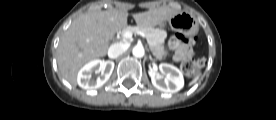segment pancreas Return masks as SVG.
<instances>
[{
	"label": "pancreas",
	"instance_id": "cf45deb5",
	"mask_svg": "<svg viewBox=\"0 0 276 120\" xmlns=\"http://www.w3.org/2000/svg\"><path fill=\"white\" fill-rule=\"evenodd\" d=\"M126 31L136 32V31H142L146 35L147 42L151 48V51L157 58H161L164 49L162 44L164 43V40L166 38V32L160 29H155L151 27H127L123 30V33Z\"/></svg>",
	"mask_w": 276,
	"mask_h": 120
}]
</instances>
